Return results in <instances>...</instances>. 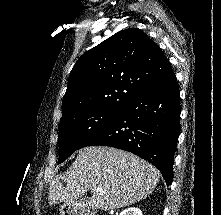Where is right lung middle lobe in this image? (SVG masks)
<instances>
[{
  "label": "right lung middle lobe",
  "mask_w": 221,
  "mask_h": 215,
  "mask_svg": "<svg viewBox=\"0 0 221 215\" xmlns=\"http://www.w3.org/2000/svg\"><path fill=\"white\" fill-rule=\"evenodd\" d=\"M119 115L118 110L93 108L71 113L60 120L59 162L65 161L90 137L110 125Z\"/></svg>",
  "instance_id": "obj_1"
}]
</instances>
